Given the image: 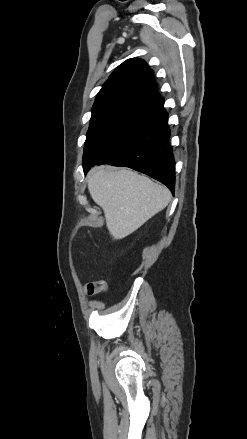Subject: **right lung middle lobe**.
Wrapping results in <instances>:
<instances>
[{
    "label": "right lung middle lobe",
    "mask_w": 247,
    "mask_h": 439,
    "mask_svg": "<svg viewBox=\"0 0 247 439\" xmlns=\"http://www.w3.org/2000/svg\"><path fill=\"white\" fill-rule=\"evenodd\" d=\"M155 114L123 103L105 104L92 109L84 146L83 167L95 164L124 143Z\"/></svg>",
    "instance_id": "1"
}]
</instances>
